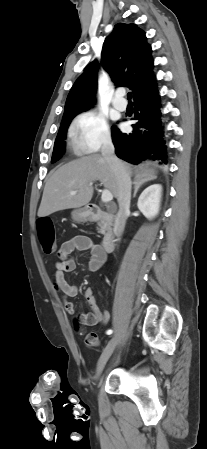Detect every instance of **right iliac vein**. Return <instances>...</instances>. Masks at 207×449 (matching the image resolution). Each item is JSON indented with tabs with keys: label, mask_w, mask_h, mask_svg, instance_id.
Wrapping results in <instances>:
<instances>
[{
	"label": "right iliac vein",
	"mask_w": 207,
	"mask_h": 449,
	"mask_svg": "<svg viewBox=\"0 0 207 449\" xmlns=\"http://www.w3.org/2000/svg\"><path fill=\"white\" fill-rule=\"evenodd\" d=\"M118 340H119V337L118 336H114L109 341V343L107 344L105 349L103 350V352H102V354H101V356L99 358L98 364H97V370H96L95 379H98L99 376L101 375V373H102V371H103V369H104L108 359L110 358V356L112 355V353L114 351V348H115Z\"/></svg>",
	"instance_id": "1"
}]
</instances>
